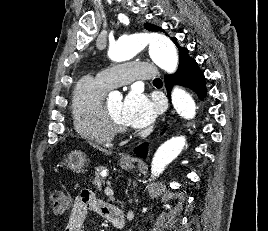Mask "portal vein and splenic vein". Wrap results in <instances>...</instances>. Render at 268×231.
I'll return each instance as SVG.
<instances>
[{"mask_svg":"<svg viewBox=\"0 0 268 231\" xmlns=\"http://www.w3.org/2000/svg\"><path fill=\"white\" fill-rule=\"evenodd\" d=\"M104 193H105L107 196H109V197H113L114 192H113V190H112L111 185H109V186H107V187L105 188Z\"/></svg>","mask_w":268,"mask_h":231,"instance_id":"obj_1","label":"portal vein and splenic vein"}]
</instances>
